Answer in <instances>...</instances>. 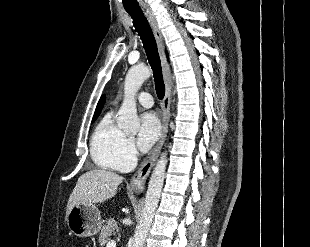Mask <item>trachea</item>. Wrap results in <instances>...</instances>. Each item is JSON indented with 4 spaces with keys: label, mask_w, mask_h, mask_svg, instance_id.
<instances>
[{
    "label": "trachea",
    "mask_w": 310,
    "mask_h": 247,
    "mask_svg": "<svg viewBox=\"0 0 310 247\" xmlns=\"http://www.w3.org/2000/svg\"><path fill=\"white\" fill-rule=\"evenodd\" d=\"M126 11L132 17L133 25L142 40L149 64L153 70L157 97L162 100L165 95V85L163 81L161 61L153 32L140 10Z\"/></svg>",
    "instance_id": "3493384b"
}]
</instances>
